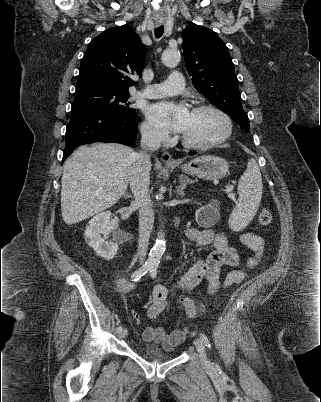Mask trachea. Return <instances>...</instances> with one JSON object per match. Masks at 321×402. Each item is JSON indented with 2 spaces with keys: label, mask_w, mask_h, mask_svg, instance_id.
<instances>
[{
  "label": "trachea",
  "mask_w": 321,
  "mask_h": 402,
  "mask_svg": "<svg viewBox=\"0 0 321 402\" xmlns=\"http://www.w3.org/2000/svg\"><path fill=\"white\" fill-rule=\"evenodd\" d=\"M154 32H155V37H156V38H160V37L163 35V32H164V27H163V25L157 27V28L154 30Z\"/></svg>",
  "instance_id": "obj_1"
}]
</instances>
